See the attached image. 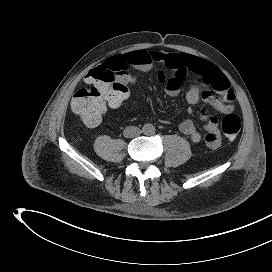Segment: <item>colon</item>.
<instances>
[{
	"label": "colon",
	"instance_id": "1",
	"mask_svg": "<svg viewBox=\"0 0 272 272\" xmlns=\"http://www.w3.org/2000/svg\"><path fill=\"white\" fill-rule=\"evenodd\" d=\"M124 71L122 67L102 64L87 73L85 81L88 86L77 90L71 101L72 111L85 125L97 126L107 105L117 108L128 97V85L120 77ZM221 126L226 140L233 142L241 128L240 117L235 113H227Z\"/></svg>",
	"mask_w": 272,
	"mask_h": 272
}]
</instances>
